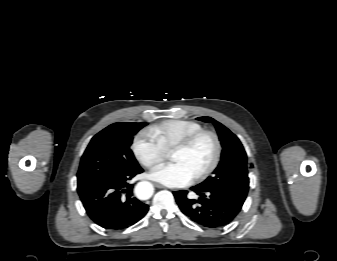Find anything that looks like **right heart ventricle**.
I'll return each mask as SVG.
<instances>
[{"instance_id": "1", "label": "right heart ventricle", "mask_w": 337, "mask_h": 261, "mask_svg": "<svg viewBox=\"0 0 337 261\" xmlns=\"http://www.w3.org/2000/svg\"><path fill=\"white\" fill-rule=\"evenodd\" d=\"M202 129L203 126L195 121L172 119L154 125L150 132L166 152H171L186 137Z\"/></svg>"}]
</instances>
